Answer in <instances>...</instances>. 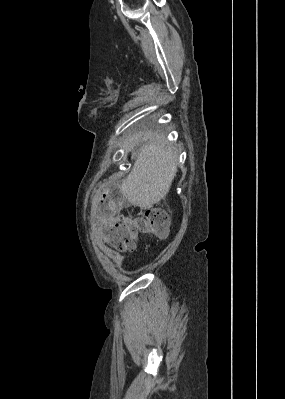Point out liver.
Listing matches in <instances>:
<instances>
[{
  "mask_svg": "<svg viewBox=\"0 0 285 399\" xmlns=\"http://www.w3.org/2000/svg\"><path fill=\"white\" fill-rule=\"evenodd\" d=\"M131 172L123 179L121 193L134 206L152 207L164 199L177 173V155L161 140L152 139L134 153Z\"/></svg>",
  "mask_w": 285,
  "mask_h": 399,
  "instance_id": "6515ba94",
  "label": "liver"
}]
</instances>
